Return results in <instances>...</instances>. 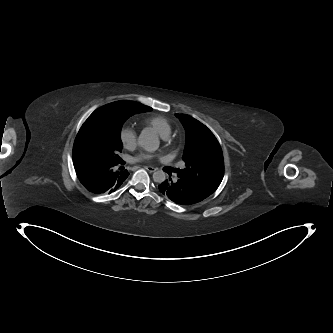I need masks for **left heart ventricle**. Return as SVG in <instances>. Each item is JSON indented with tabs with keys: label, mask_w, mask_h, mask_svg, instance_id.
Here are the masks:
<instances>
[{
	"label": "left heart ventricle",
	"mask_w": 333,
	"mask_h": 333,
	"mask_svg": "<svg viewBox=\"0 0 333 333\" xmlns=\"http://www.w3.org/2000/svg\"><path fill=\"white\" fill-rule=\"evenodd\" d=\"M152 150H153L155 153H161V150L158 149V146H154V147H152Z\"/></svg>",
	"instance_id": "obj_1"
}]
</instances>
